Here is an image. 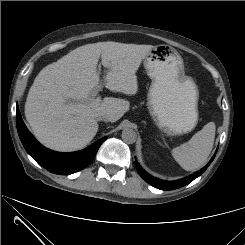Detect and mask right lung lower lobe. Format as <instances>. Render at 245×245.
Wrapping results in <instances>:
<instances>
[{
	"instance_id": "obj_1",
	"label": "right lung lower lobe",
	"mask_w": 245,
	"mask_h": 245,
	"mask_svg": "<svg viewBox=\"0 0 245 245\" xmlns=\"http://www.w3.org/2000/svg\"><path fill=\"white\" fill-rule=\"evenodd\" d=\"M17 130L27 153L42 167L54 174L69 175L85 168L95 157L100 145L106 140L103 137L89 147L71 153L56 152L42 146L25 126L20 112H16Z\"/></svg>"
}]
</instances>
